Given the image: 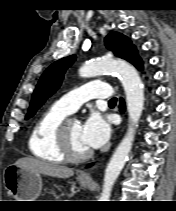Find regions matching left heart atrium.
<instances>
[{"instance_id":"39dd6f15","label":"left heart atrium","mask_w":176,"mask_h":211,"mask_svg":"<svg viewBox=\"0 0 176 211\" xmlns=\"http://www.w3.org/2000/svg\"><path fill=\"white\" fill-rule=\"evenodd\" d=\"M81 136L89 149L99 148L108 141L110 126L99 114H91L82 125Z\"/></svg>"}]
</instances>
